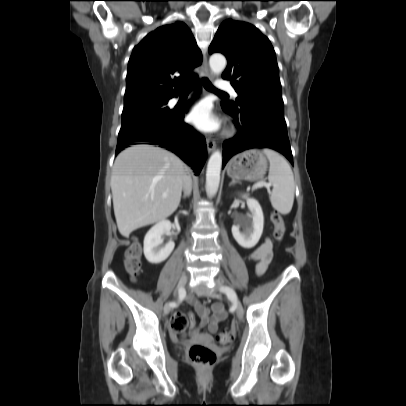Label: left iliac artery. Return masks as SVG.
I'll list each match as a JSON object with an SVG mask.
<instances>
[{
	"instance_id": "44dca946",
	"label": "left iliac artery",
	"mask_w": 406,
	"mask_h": 406,
	"mask_svg": "<svg viewBox=\"0 0 406 406\" xmlns=\"http://www.w3.org/2000/svg\"><path fill=\"white\" fill-rule=\"evenodd\" d=\"M220 291L225 293L229 299H231L232 297H234L236 295L235 291L230 287H222V288H220Z\"/></svg>"
}]
</instances>
